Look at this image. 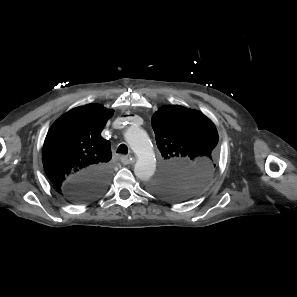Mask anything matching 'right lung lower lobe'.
I'll use <instances>...</instances> for the list:
<instances>
[{"label": "right lung lower lobe", "instance_id": "98d812e1", "mask_svg": "<svg viewBox=\"0 0 297 297\" xmlns=\"http://www.w3.org/2000/svg\"><path fill=\"white\" fill-rule=\"evenodd\" d=\"M108 167H99L73 176L63 190V195L72 202L82 203L99 196L109 182Z\"/></svg>", "mask_w": 297, "mask_h": 297}]
</instances>
